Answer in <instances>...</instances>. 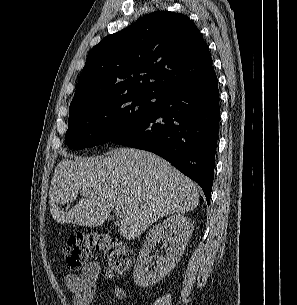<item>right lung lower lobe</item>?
Wrapping results in <instances>:
<instances>
[{
  "label": "right lung lower lobe",
  "instance_id": "98d812e1",
  "mask_svg": "<svg viewBox=\"0 0 297 305\" xmlns=\"http://www.w3.org/2000/svg\"><path fill=\"white\" fill-rule=\"evenodd\" d=\"M216 73L164 89L156 108L110 141L153 152L197 182L209 204L219 132Z\"/></svg>",
  "mask_w": 297,
  "mask_h": 305
}]
</instances>
